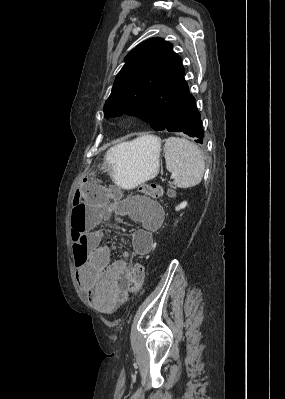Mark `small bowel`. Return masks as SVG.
I'll list each match as a JSON object with an SVG mask.
<instances>
[{
  "label": "small bowel",
  "mask_w": 285,
  "mask_h": 399,
  "mask_svg": "<svg viewBox=\"0 0 285 399\" xmlns=\"http://www.w3.org/2000/svg\"><path fill=\"white\" fill-rule=\"evenodd\" d=\"M96 211L98 218L129 215L139 224L131 234L129 250L118 241H103L100 234L87 232L84 228L86 219L79 217L70 221L78 283L101 313L110 314L127 299L130 291H135L131 255L149 253L154 243L152 235L158 232L164 215L159 206L141 203L131 213L121 211L117 205H106ZM117 251L123 255L122 259H113Z\"/></svg>",
  "instance_id": "obj_1"
}]
</instances>
